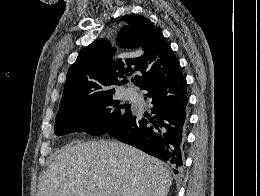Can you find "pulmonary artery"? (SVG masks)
<instances>
[{"instance_id": "obj_1", "label": "pulmonary artery", "mask_w": 260, "mask_h": 196, "mask_svg": "<svg viewBox=\"0 0 260 196\" xmlns=\"http://www.w3.org/2000/svg\"><path fill=\"white\" fill-rule=\"evenodd\" d=\"M123 98L131 102H137L139 100L138 94L133 88H127L123 92Z\"/></svg>"}]
</instances>
